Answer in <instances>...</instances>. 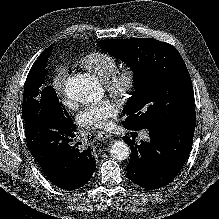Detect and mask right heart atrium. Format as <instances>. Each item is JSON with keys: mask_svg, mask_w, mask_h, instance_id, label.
Instances as JSON below:
<instances>
[{"mask_svg": "<svg viewBox=\"0 0 219 219\" xmlns=\"http://www.w3.org/2000/svg\"><path fill=\"white\" fill-rule=\"evenodd\" d=\"M67 77H68V70L63 66L58 67L53 75L52 88L54 93L59 97L64 96V88L66 85ZM64 103L67 106L72 107V103L66 100L64 101Z\"/></svg>", "mask_w": 219, "mask_h": 219, "instance_id": "1", "label": "right heart atrium"}]
</instances>
